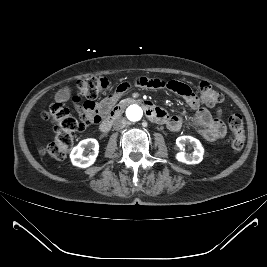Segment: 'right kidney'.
I'll return each mask as SVG.
<instances>
[{
  "label": "right kidney",
  "mask_w": 267,
  "mask_h": 267,
  "mask_svg": "<svg viewBox=\"0 0 267 267\" xmlns=\"http://www.w3.org/2000/svg\"><path fill=\"white\" fill-rule=\"evenodd\" d=\"M85 149L89 150V155L84 156L83 152ZM99 151V144L96 139L89 138L79 142V144L74 147L70 153L71 162L74 166L81 168H86L92 165Z\"/></svg>",
  "instance_id": "1"
}]
</instances>
